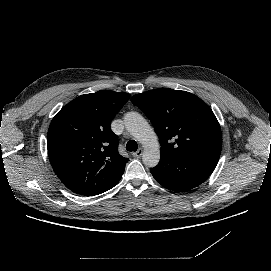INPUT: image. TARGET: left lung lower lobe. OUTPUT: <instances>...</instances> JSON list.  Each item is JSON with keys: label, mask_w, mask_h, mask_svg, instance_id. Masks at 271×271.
<instances>
[{"label": "left lung lower lobe", "mask_w": 271, "mask_h": 271, "mask_svg": "<svg viewBox=\"0 0 271 271\" xmlns=\"http://www.w3.org/2000/svg\"><path fill=\"white\" fill-rule=\"evenodd\" d=\"M216 164L213 160L161 152L160 162L151 173L163 187L184 192L203 183Z\"/></svg>", "instance_id": "0a47b994"}]
</instances>
